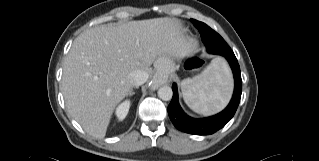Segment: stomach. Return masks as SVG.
I'll list each match as a JSON object with an SVG mask.
<instances>
[{
    "instance_id": "1",
    "label": "stomach",
    "mask_w": 319,
    "mask_h": 161,
    "mask_svg": "<svg viewBox=\"0 0 319 161\" xmlns=\"http://www.w3.org/2000/svg\"><path fill=\"white\" fill-rule=\"evenodd\" d=\"M155 67L158 74L163 78H167L177 68L174 60L169 55L159 56L155 61Z\"/></svg>"
}]
</instances>
